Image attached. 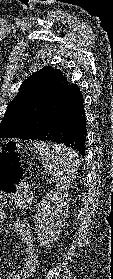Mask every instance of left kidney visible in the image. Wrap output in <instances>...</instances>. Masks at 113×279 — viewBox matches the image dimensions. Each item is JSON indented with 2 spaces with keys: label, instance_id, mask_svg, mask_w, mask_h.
Wrapping results in <instances>:
<instances>
[{
  "label": "left kidney",
  "instance_id": "1",
  "mask_svg": "<svg viewBox=\"0 0 113 279\" xmlns=\"http://www.w3.org/2000/svg\"><path fill=\"white\" fill-rule=\"evenodd\" d=\"M69 202L67 192L52 190L38 204L34 223L41 246L50 247L59 238L68 218Z\"/></svg>",
  "mask_w": 113,
  "mask_h": 279
}]
</instances>
